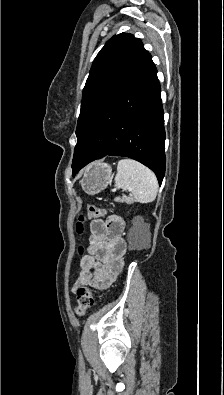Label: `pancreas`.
Returning a JSON list of instances; mask_svg holds the SVG:
<instances>
[{"label": "pancreas", "instance_id": "1", "mask_svg": "<svg viewBox=\"0 0 224 395\" xmlns=\"http://www.w3.org/2000/svg\"><path fill=\"white\" fill-rule=\"evenodd\" d=\"M116 201H118V202H126V203H130L131 202V200L128 198V197H126V196H123L122 198H116Z\"/></svg>", "mask_w": 224, "mask_h": 395}]
</instances>
